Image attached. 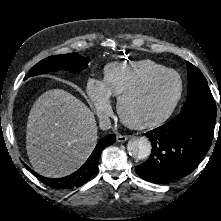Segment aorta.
<instances>
[{
	"label": "aorta",
	"mask_w": 221,
	"mask_h": 221,
	"mask_svg": "<svg viewBox=\"0 0 221 221\" xmlns=\"http://www.w3.org/2000/svg\"><path fill=\"white\" fill-rule=\"evenodd\" d=\"M127 150L133 158L145 159L151 153V143L146 137L131 139L127 144Z\"/></svg>",
	"instance_id": "762f6f07"
}]
</instances>
